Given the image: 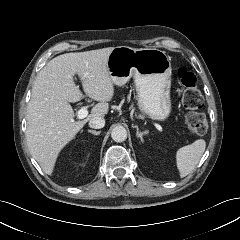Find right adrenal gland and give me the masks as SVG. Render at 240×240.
I'll return each mask as SVG.
<instances>
[{"label": "right adrenal gland", "instance_id": "1", "mask_svg": "<svg viewBox=\"0 0 240 240\" xmlns=\"http://www.w3.org/2000/svg\"><path fill=\"white\" fill-rule=\"evenodd\" d=\"M88 133L94 134V135H99L101 132L96 131V130H88Z\"/></svg>", "mask_w": 240, "mask_h": 240}]
</instances>
